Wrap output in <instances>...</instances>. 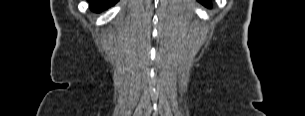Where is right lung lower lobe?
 I'll return each mask as SVG.
<instances>
[{
	"label": "right lung lower lobe",
	"instance_id": "98d812e1",
	"mask_svg": "<svg viewBox=\"0 0 305 116\" xmlns=\"http://www.w3.org/2000/svg\"><path fill=\"white\" fill-rule=\"evenodd\" d=\"M118 0H89L90 8L95 12H101L114 5Z\"/></svg>",
	"mask_w": 305,
	"mask_h": 116
}]
</instances>
